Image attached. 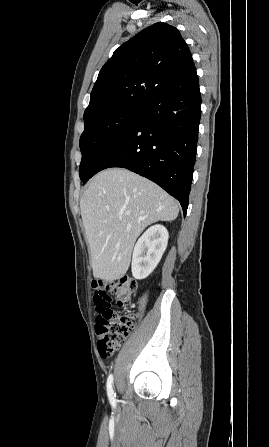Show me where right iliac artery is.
Returning a JSON list of instances; mask_svg holds the SVG:
<instances>
[{"mask_svg":"<svg viewBox=\"0 0 269 447\" xmlns=\"http://www.w3.org/2000/svg\"><path fill=\"white\" fill-rule=\"evenodd\" d=\"M107 393H108V398H109L111 405L113 407H115L116 406V399H115L116 393L114 392V389H113V375L112 374L107 379Z\"/></svg>","mask_w":269,"mask_h":447,"instance_id":"1","label":"right iliac artery"}]
</instances>
